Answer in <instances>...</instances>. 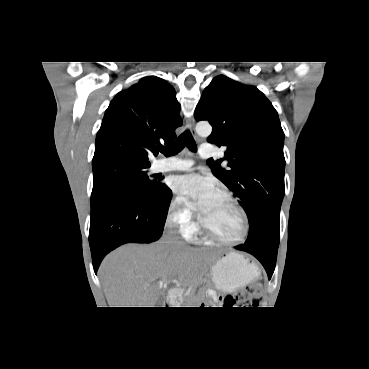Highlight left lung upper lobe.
<instances>
[{
	"instance_id": "left-lung-upper-lobe-1",
	"label": "left lung upper lobe",
	"mask_w": 369,
	"mask_h": 369,
	"mask_svg": "<svg viewBox=\"0 0 369 369\" xmlns=\"http://www.w3.org/2000/svg\"><path fill=\"white\" fill-rule=\"evenodd\" d=\"M194 116L212 125L208 142L226 149L223 159L208 165L248 216L245 244L279 245L285 158L277 111L256 87L219 75L204 89ZM223 160L227 169L220 166Z\"/></svg>"
}]
</instances>
